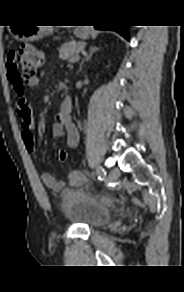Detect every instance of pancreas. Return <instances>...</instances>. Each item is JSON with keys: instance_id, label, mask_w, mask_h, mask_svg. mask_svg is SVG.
<instances>
[{"instance_id": "obj_1", "label": "pancreas", "mask_w": 184, "mask_h": 292, "mask_svg": "<svg viewBox=\"0 0 184 292\" xmlns=\"http://www.w3.org/2000/svg\"><path fill=\"white\" fill-rule=\"evenodd\" d=\"M84 48L85 44L83 42H66L59 49V57L60 59H68L73 55H77Z\"/></svg>"}]
</instances>
